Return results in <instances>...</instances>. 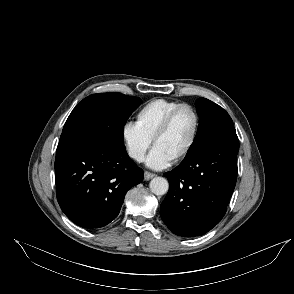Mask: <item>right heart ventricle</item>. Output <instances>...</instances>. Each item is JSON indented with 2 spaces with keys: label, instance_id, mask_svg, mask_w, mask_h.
Returning <instances> with one entry per match:
<instances>
[{
  "label": "right heart ventricle",
  "instance_id": "1",
  "mask_svg": "<svg viewBox=\"0 0 294 294\" xmlns=\"http://www.w3.org/2000/svg\"><path fill=\"white\" fill-rule=\"evenodd\" d=\"M180 102L168 99H153L146 103L136 114V123L152 139L166 115Z\"/></svg>",
  "mask_w": 294,
  "mask_h": 294
}]
</instances>
